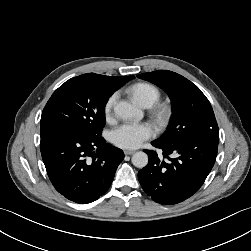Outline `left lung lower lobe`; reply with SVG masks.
I'll use <instances>...</instances> for the list:
<instances>
[{"label":"left lung lower lobe","mask_w":251,"mask_h":251,"mask_svg":"<svg viewBox=\"0 0 251 251\" xmlns=\"http://www.w3.org/2000/svg\"><path fill=\"white\" fill-rule=\"evenodd\" d=\"M218 142L217 137L205 136L175 144L153 141V146L163 150L164 159L155 151L145 150L149 163L138 173L143 190L163 205L177 204L191 197L203 185L215 163Z\"/></svg>","instance_id":"1"}]
</instances>
